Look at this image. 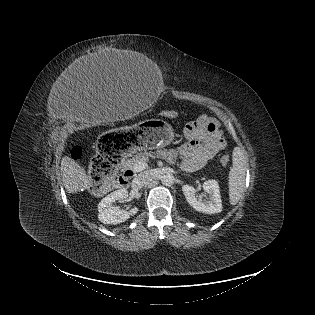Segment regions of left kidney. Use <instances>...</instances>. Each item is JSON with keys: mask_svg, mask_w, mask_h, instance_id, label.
<instances>
[{"mask_svg": "<svg viewBox=\"0 0 315 315\" xmlns=\"http://www.w3.org/2000/svg\"><path fill=\"white\" fill-rule=\"evenodd\" d=\"M203 189L210 195L209 200H199L196 196L197 190L190 185H183L182 191L187 202L196 211L205 214H215L222 211V201L219 190V185L216 180H208L203 184Z\"/></svg>", "mask_w": 315, "mask_h": 315, "instance_id": "1", "label": "left kidney"}]
</instances>
